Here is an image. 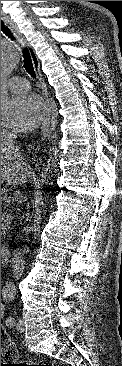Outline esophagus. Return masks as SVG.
Segmentation results:
<instances>
[{
  "label": "esophagus",
  "mask_w": 122,
  "mask_h": 366,
  "mask_svg": "<svg viewBox=\"0 0 122 366\" xmlns=\"http://www.w3.org/2000/svg\"><path fill=\"white\" fill-rule=\"evenodd\" d=\"M1 19L10 26L11 30L14 32L16 37L19 39V41L22 43V45L28 49V51L31 55L33 66H34L37 78L39 80V83H40V86L42 89V95L45 100V118H44V121H43L42 127H41V136H42V139L45 140L50 136V133H51L50 128H51V123H52V119H53V117H52L53 107L51 105L49 92L47 90L46 84H45L42 74L40 72L39 59H38L34 49L29 45V43L27 42L25 37L21 34V32L18 30L16 25L9 18H7L4 15L1 17Z\"/></svg>",
  "instance_id": "34e87169"
}]
</instances>
